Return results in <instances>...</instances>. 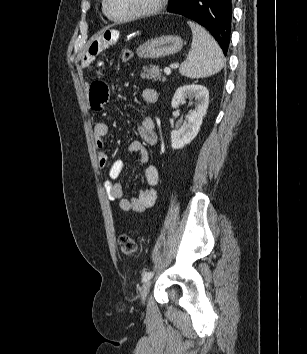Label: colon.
<instances>
[{
	"label": "colon",
	"mask_w": 307,
	"mask_h": 354,
	"mask_svg": "<svg viewBox=\"0 0 307 354\" xmlns=\"http://www.w3.org/2000/svg\"><path fill=\"white\" fill-rule=\"evenodd\" d=\"M120 57L123 62H127L132 57V51L130 49H123ZM118 244L123 255L127 257H135L137 255V244L131 236L127 234L120 235Z\"/></svg>",
	"instance_id": "colon-1"
}]
</instances>
